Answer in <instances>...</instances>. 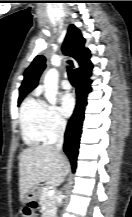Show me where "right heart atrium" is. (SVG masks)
<instances>
[{
    "mask_svg": "<svg viewBox=\"0 0 132 217\" xmlns=\"http://www.w3.org/2000/svg\"><path fill=\"white\" fill-rule=\"evenodd\" d=\"M65 127L66 122L58 108L53 105L46 106L43 124L46 139L49 141L55 140L64 132Z\"/></svg>",
    "mask_w": 132,
    "mask_h": 217,
    "instance_id": "right-heart-atrium-1",
    "label": "right heart atrium"
}]
</instances>
